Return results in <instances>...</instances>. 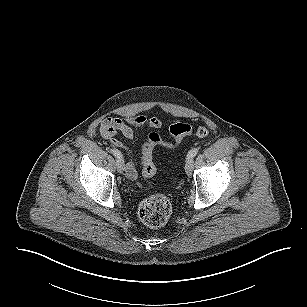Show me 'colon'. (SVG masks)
I'll return each mask as SVG.
<instances>
[{"mask_svg":"<svg viewBox=\"0 0 307 307\" xmlns=\"http://www.w3.org/2000/svg\"><path fill=\"white\" fill-rule=\"evenodd\" d=\"M171 141H165L159 134L152 132L144 143L141 151L142 172L145 177H153L156 168L153 162V149L156 145H161L168 149H176L183 139L192 133V127L188 123H174L169 128ZM209 130L205 126H200L196 130L198 137H206ZM172 208L169 200L160 194H153L146 197L140 204L139 217L141 221L149 227H161L165 225L170 216Z\"/></svg>","mask_w":307,"mask_h":307,"instance_id":"colon-1","label":"colon"}]
</instances>
